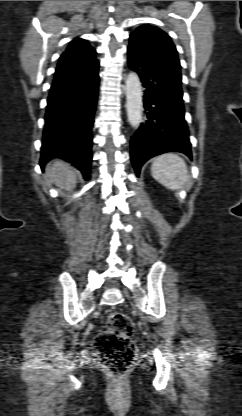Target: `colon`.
<instances>
[{"mask_svg":"<svg viewBox=\"0 0 242 416\" xmlns=\"http://www.w3.org/2000/svg\"><path fill=\"white\" fill-rule=\"evenodd\" d=\"M133 328L127 314L114 311L107 317L106 328L95 338L94 349L114 376L124 375L136 359L137 349L131 338Z\"/></svg>","mask_w":242,"mask_h":416,"instance_id":"5ec220e1","label":"colon"}]
</instances>
